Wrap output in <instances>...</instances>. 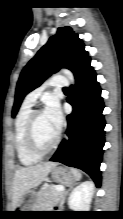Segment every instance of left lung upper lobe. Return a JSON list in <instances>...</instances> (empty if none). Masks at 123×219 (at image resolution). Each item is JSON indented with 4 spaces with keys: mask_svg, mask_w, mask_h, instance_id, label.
Listing matches in <instances>:
<instances>
[{
    "mask_svg": "<svg viewBox=\"0 0 123 219\" xmlns=\"http://www.w3.org/2000/svg\"><path fill=\"white\" fill-rule=\"evenodd\" d=\"M89 58L78 34L69 26L58 28L57 33L22 70L17 82L12 116L15 117L25 95L39 87L51 74L60 68H67L75 74L79 66Z\"/></svg>",
    "mask_w": 123,
    "mask_h": 219,
    "instance_id": "left-lung-upper-lobe-1",
    "label": "left lung upper lobe"
}]
</instances>
